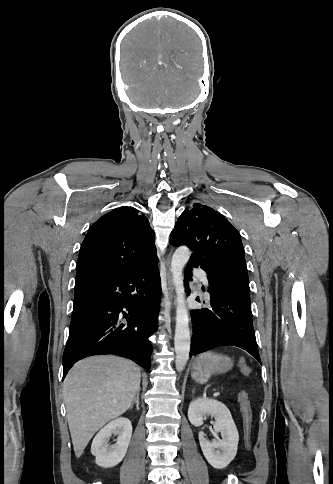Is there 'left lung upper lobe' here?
I'll return each instance as SVG.
<instances>
[{"mask_svg":"<svg viewBox=\"0 0 333 484\" xmlns=\"http://www.w3.org/2000/svg\"><path fill=\"white\" fill-rule=\"evenodd\" d=\"M170 242L173 246H188L197 256L218 246L233 244L244 254L238 231L223 215L199 203L183 211L170 235Z\"/></svg>","mask_w":333,"mask_h":484,"instance_id":"5c2ea615","label":"left lung upper lobe"}]
</instances>
